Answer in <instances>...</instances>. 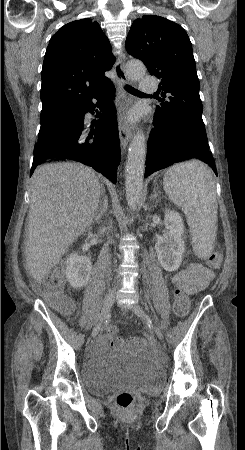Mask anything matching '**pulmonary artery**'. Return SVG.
Here are the masks:
<instances>
[{
    "instance_id": "1",
    "label": "pulmonary artery",
    "mask_w": 245,
    "mask_h": 450,
    "mask_svg": "<svg viewBox=\"0 0 245 450\" xmlns=\"http://www.w3.org/2000/svg\"><path fill=\"white\" fill-rule=\"evenodd\" d=\"M141 92L144 94L155 93L158 89L157 79L153 76H144L140 79Z\"/></svg>"
}]
</instances>
